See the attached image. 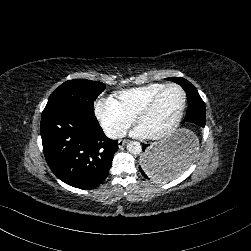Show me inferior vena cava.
Listing matches in <instances>:
<instances>
[{
	"mask_svg": "<svg viewBox=\"0 0 251 251\" xmlns=\"http://www.w3.org/2000/svg\"><path fill=\"white\" fill-rule=\"evenodd\" d=\"M104 135L110 139H117L126 135L125 131L115 125H109L103 128Z\"/></svg>",
	"mask_w": 251,
	"mask_h": 251,
	"instance_id": "obj_1",
	"label": "inferior vena cava"
}]
</instances>
